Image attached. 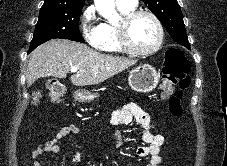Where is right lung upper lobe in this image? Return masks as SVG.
Listing matches in <instances>:
<instances>
[{
  "instance_id": "obj_1",
  "label": "right lung upper lobe",
  "mask_w": 227,
  "mask_h": 166,
  "mask_svg": "<svg viewBox=\"0 0 227 166\" xmlns=\"http://www.w3.org/2000/svg\"><path fill=\"white\" fill-rule=\"evenodd\" d=\"M85 0H45L41 9H82Z\"/></svg>"
}]
</instances>
